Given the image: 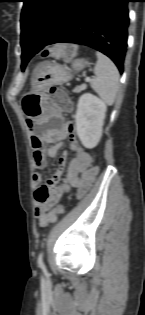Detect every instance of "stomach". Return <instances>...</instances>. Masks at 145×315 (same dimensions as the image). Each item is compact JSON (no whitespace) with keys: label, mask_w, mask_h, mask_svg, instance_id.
I'll return each instance as SVG.
<instances>
[{"label":"stomach","mask_w":145,"mask_h":315,"mask_svg":"<svg viewBox=\"0 0 145 315\" xmlns=\"http://www.w3.org/2000/svg\"><path fill=\"white\" fill-rule=\"evenodd\" d=\"M87 65L84 59L73 61L71 68L57 63H44L35 80V91H27L22 94L21 112H25L28 120H38V116H44L45 102H42V91H49L54 84H62L70 81L74 74L83 70Z\"/></svg>","instance_id":"1"}]
</instances>
